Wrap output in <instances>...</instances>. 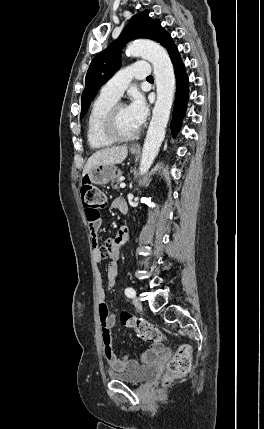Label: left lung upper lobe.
I'll return each instance as SVG.
<instances>
[{"label": "left lung upper lobe", "instance_id": "left-lung-upper-lobe-1", "mask_svg": "<svg viewBox=\"0 0 264 429\" xmlns=\"http://www.w3.org/2000/svg\"><path fill=\"white\" fill-rule=\"evenodd\" d=\"M167 32L162 29L159 20L149 17V11L133 16L120 37L92 60L85 78L82 93L81 117H83L100 87L107 82L121 65L120 53L123 46L131 39L147 38L161 41Z\"/></svg>", "mask_w": 264, "mask_h": 429}]
</instances>
